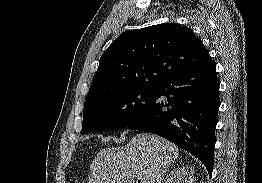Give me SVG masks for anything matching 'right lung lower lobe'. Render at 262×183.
Here are the masks:
<instances>
[{"label": "right lung lower lobe", "mask_w": 262, "mask_h": 183, "mask_svg": "<svg viewBox=\"0 0 262 183\" xmlns=\"http://www.w3.org/2000/svg\"><path fill=\"white\" fill-rule=\"evenodd\" d=\"M215 69L211 60L164 81L156 88L151 104L126 128L155 133L170 140L196 156L211 175L214 130L220 106Z\"/></svg>", "instance_id": "98d812e1"}]
</instances>
